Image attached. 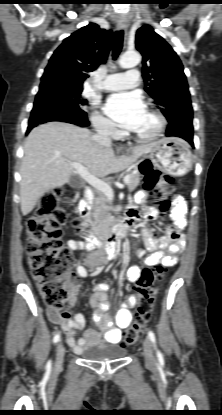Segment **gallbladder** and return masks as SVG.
I'll use <instances>...</instances> for the list:
<instances>
[{
    "label": "gallbladder",
    "mask_w": 222,
    "mask_h": 415,
    "mask_svg": "<svg viewBox=\"0 0 222 415\" xmlns=\"http://www.w3.org/2000/svg\"><path fill=\"white\" fill-rule=\"evenodd\" d=\"M68 185L72 188H78L82 185V180L78 176H71Z\"/></svg>",
    "instance_id": "obj_1"
}]
</instances>
